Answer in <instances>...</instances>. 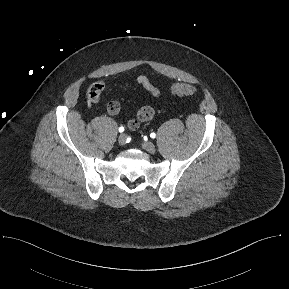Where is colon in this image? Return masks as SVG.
<instances>
[{"label":"colon","instance_id":"colon-1","mask_svg":"<svg viewBox=\"0 0 289 289\" xmlns=\"http://www.w3.org/2000/svg\"><path fill=\"white\" fill-rule=\"evenodd\" d=\"M104 90V84L101 82L93 83L87 92L88 98L92 101H97ZM197 92V89L194 85L181 83L176 84L172 87V93L176 96L185 97L192 96Z\"/></svg>","mask_w":289,"mask_h":289}]
</instances>
